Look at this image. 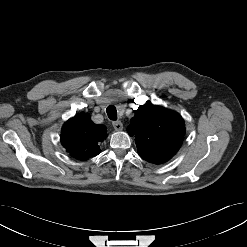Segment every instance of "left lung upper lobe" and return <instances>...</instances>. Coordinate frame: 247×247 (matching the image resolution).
Returning <instances> with one entry per match:
<instances>
[{"instance_id": "obj_1", "label": "left lung upper lobe", "mask_w": 247, "mask_h": 247, "mask_svg": "<svg viewBox=\"0 0 247 247\" xmlns=\"http://www.w3.org/2000/svg\"><path fill=\"white\" fill-rule=\"evenodd\" d=\"M127 132L135 137L141 158L160 164L168 161L180 148L185 124L178 113L146 103L136 110Z\"/></svg>"}]
</instances>
